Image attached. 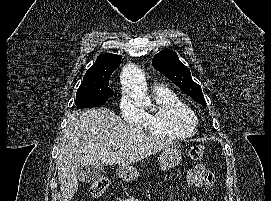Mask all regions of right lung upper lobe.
<instances>
[{"mask_svg": "<svg viewBox=\"0 0 271 201\" xmlns=\"http://www.w3.org/2000/svg\"><path fill=\"white\" fill-rule=\"evenodd\" d=\"M120 63V55L110 53L101 54L97 57L95 64L87 70L84 78L111 75Z\"/></svg>", "mask_w": 271, "mask_h": 201, "instance_id": "right-lung-upper-lobe-1", "label": "right lung upper lobe"}]
</instances>
